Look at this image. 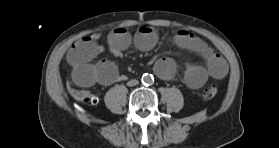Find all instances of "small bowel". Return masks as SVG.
<instances>
[{
	"instance_id": "1",
	"label": "small bowel",
	"mask_w": 279,
	"mask_h": 148,
	"mask_svg": "<svg viewBox=\"0 0 279 148\" xmlns=\"http://www.w3.org/2000/svg\"><path fill=\"white\" fill-rule=\"evenodd\" d=\"M101 35H89L74 43L67 53V61L71 65L72 77L76 85L90 87L94 84L109 86L119 80L120 75L114 63L110 60L92 61L103 52L99 43ZM175 42L182 48L199 54L206 66L188 64L184 71V82L190 88H199L209 77L222 79L228 73V65L224 58L213 50L202 39L192 33L181 30L174 37ZM158 41L157 32L148 26L139 28L132 36L125 28H116L108 35V48L113 55H120L132 43L140 50L152 49ZM157 75L170 80L176 72L174 60L163 57L157 60L154 66Z\"/></svg>"
}]
</instances>
